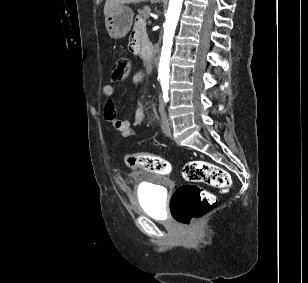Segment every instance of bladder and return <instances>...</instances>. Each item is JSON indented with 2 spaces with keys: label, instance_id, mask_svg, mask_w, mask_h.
<instances>
[{
  "label": "bladder",
  "instance_id": "31cf9c89",
  "mask_svg": "<svg viewBox=\"0 0 308 283\" xmlns=\"http://www.w3.org/2000/svg\"><path fill=\"white\" fill-rule=\"evenodd\" d=\"M137 201L143 214L158 219L164 216L165 195L160 186L142 182L137 189Z\"/></svg>",
  "mask_w": 308,
  "mask_h": 283
}]
</instances>
